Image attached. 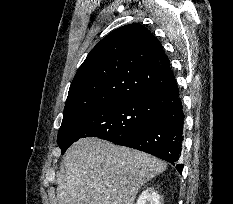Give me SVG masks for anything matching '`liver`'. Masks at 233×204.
<instances>
[{"label": "liver", "instance_id": "obj_1", "mask_svg": "<svg viewBox=\"0 0 233 204\" xmlns=\"http://www.w3.org/2000/svg\"><path fill=\"white\" fill-rule=\"evenodd\" d=\"M64 167L57 204H134L141 187L167 165L150 154L88 137L70 146Z\"/></svg>", "mask_w": 233, "mask_h": 204}]
</instances>
